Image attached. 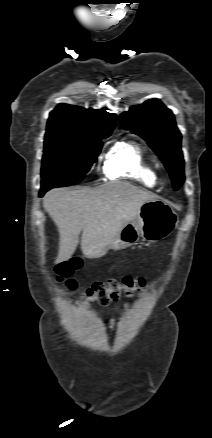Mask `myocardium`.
I'll use <instances>...</instances> for the list:
<instances>
[{"instance_id": "f54148a6", "label": "myocardium", "mask_w": 212, "mask_h": 438, "mask_svg": "<svg viewBox=\"0 0 212 438\" xmlns=\"http://www.w3.org/2000/svg\"><path fill=\"white\" fill-rule=\"evenodd\" d=\"M161 179L156 175V181H160Z\"/></svg>"}]
</instances>
